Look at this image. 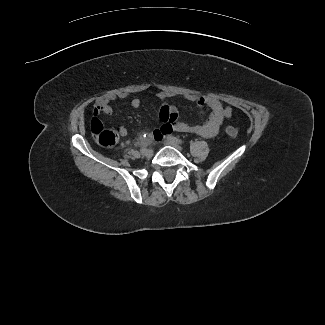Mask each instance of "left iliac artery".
<instances>
[{
  "instance_id": "44dca946",
  "label": "left iliac artery",
  "mask_w": 325,
  "mask_h": 325,
  "mask_svg": "<svg viewBox=\"0 0 325 325\" xmlns=\"http://www.w3.org/2000/svg\"><path fill=\"white\" fill-rule=\"evenodd\" d=\"M168 138H169L170 140H172V141L178 143V144H183V143H184L183 140H181V139H179V138H177V137H174V136H172V135L168 136Z\"/></svg>"
}]
</instances>
